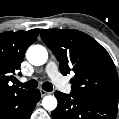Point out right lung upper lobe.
<instances>
[{"label": "right lung upper lobe", "instance_id": "obj_1", "mask_svg": "<svg viewBox=\"0 0 119 119\" xmlns=\"http://www.w3.org/2000/svg\"><path fill=\"white\" fill-rule=\"evenodd\" d=\"M38 34V29L0 34V97L24 91L10 82L16 79L14 75L20 69L25 51Z\"/></svg>", "mask_w": 119, "mask_h": 119}]
</instances>
